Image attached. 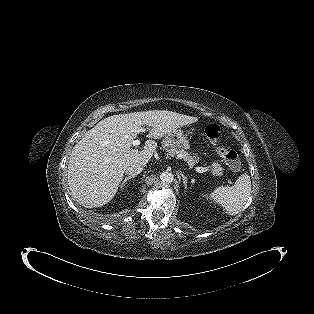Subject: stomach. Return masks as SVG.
Segmentation results:
<instances>
[{
  "instance_id": "0dacf381",
  "label": "stomach",
  "mask_w": 314,
  "mask_h": 314,
  "mask_svg": "<svg viewBox=\"0 0 314 314\" xmlns=\"http://www.w3.org/2000/svg\"><path fill=\"white\" fill-rule=\"evenodd\" d=\"M163 142H167L169 146L175 147L185 153H188L190 149L188 138L181 129H176L164 136Z\"/></svg>"
}]
</instances>
